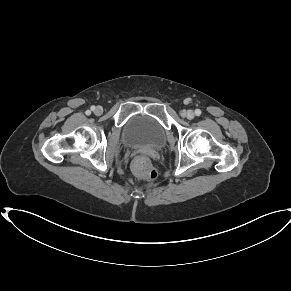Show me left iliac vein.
I'll return each instance as SVG.
<instances>
[{
  "label": "left iliac vein",
  "mask_w": 291,
  "mask_h": 291,
  "mask_svg": "<svg viewBox=\"0 0 291 291\" xmlns=\"http://www.w3.org/2000/svg\"><path fill=\"white\" fill-rule=\"evenodd\" d=\"M186 117L190 120L193 119L195 117L194 111H192V110L187 111Z\"/></svg>",
  "instance_id": "obj_1"
}]
</instances>
